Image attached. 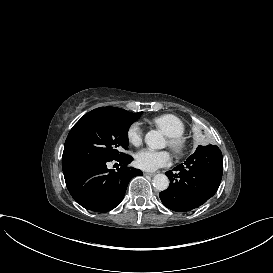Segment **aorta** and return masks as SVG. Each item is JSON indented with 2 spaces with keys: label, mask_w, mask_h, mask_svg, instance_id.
I'll use <instances>...</instances> for the list:
<instances>
[{
  "label": "aorta",
  "mask_w": 273,
  "mask_h": 273,
  "mask_svg": "<svg viewBox=\"0 0 273 273\" xmlns=\"http://www.w3.org/2000/svg\"><path fill=\"white\" fill-rule=\"evenodd\" d=\"M146 144L153 149H161L166 145V141L160 131L151 130L145 135ZM153 186L158 191H164L169 186V179L164 174H157L153 178Z\"/></svg>",
  "instance_id": "1"
}]
</instances>
